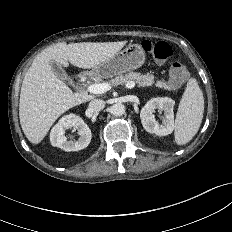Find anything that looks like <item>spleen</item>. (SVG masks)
<instances>
[{"instance_id": "1", "label": "spleen", "mask_w": 232, "mask_h": 232, "mask_svg": "<svg viewBox=\"0 0 232 232\" xmlns=\"http://www.w3.org/2000/svg\"><path fill=\"white\" fill-rule=\"evenodd\" d=\"M204 112V97L195 78H191L180 100L175 120V141L188 143L198 132Z\"/></svg>"}]
</instances>
